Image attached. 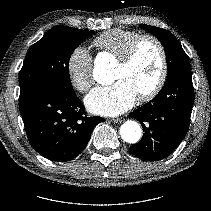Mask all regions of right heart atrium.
Masks as SVG:
<instances>
[{"label": "right heart atrium", "instance_id": "1", "mask_svg": "<svg viewBox=\"0 0 211 211\" xmlns=\"http://www.w3.org/2000/svg\"><path fill=\"white\" fill-rule=\"evenodd\" d=\"M66 69L71 85L77 91L84 93L93 86V59L84 46H77L71 51Z\"/></svg>", "mask_w": 211, "mask_h": 211}]
</instances>
